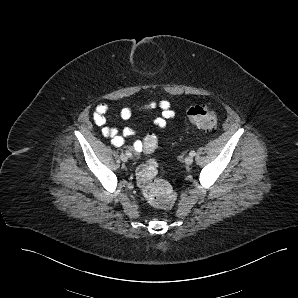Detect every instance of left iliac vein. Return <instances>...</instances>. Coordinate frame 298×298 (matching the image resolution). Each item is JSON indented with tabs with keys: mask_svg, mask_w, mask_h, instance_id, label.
Here are the masks:
<instances>
[{
	"mask_svg": "<svg viewBox=\"0 0 298 298\" xmlns=\"http://www.w3.org/2000/svg\"><path fill=\"white\" fill-rule=\"evenodd\" d=\"M184 162L187 164V165H191L193 163V157L191 155L189 156H186L185 159H184Z\"/></svg>",
	"mask_w": 298,
	"mask_h": 298,
	"instance_id": "obj_1",
	"label": "left iliac vein"
}]
</instances>
